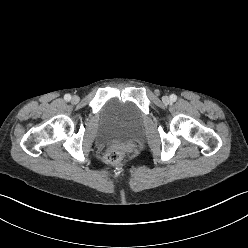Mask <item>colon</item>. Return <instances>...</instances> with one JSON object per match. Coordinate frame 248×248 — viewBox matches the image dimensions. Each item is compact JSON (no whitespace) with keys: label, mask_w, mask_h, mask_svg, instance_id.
<instances>
[{"label":"colon","mask_w":248,"mask_h":248,"mask_svg":"<svg viewBox=\"0 0 248 248\" xmlns=\"http://www.w3.org/2000/svg\"><path fill=\"white\" fill-rule=\"evenodd\" d=\"M123 159L124 152L120 148H111L105 156L106 163L112 166L119 165Z\"/></svg>","instance_id":"colon-1"}]
</instances>
